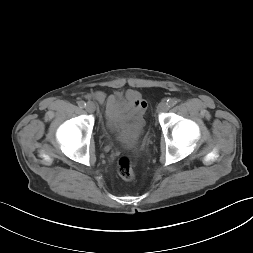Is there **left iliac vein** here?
Listing matches in <instances>:
<instances>
[{
	"mask_svg": "<svg viewBox=\"0 0 253 253\" xmlns=\"http://www.w3.org/2000/svg\"><path fill=\"white\" fill-rule=\"evenodd\" d=\"M169 109V105L167 102L162 101L161 103H159V105L157 106V111L158 112H166Z\"/></svg>",
	"mask_w": 253,
	"mask_h": 253,
	"instance_id": "left-iliac-vein-1",
	"label": "left iliac vein"
}]
</instances>
